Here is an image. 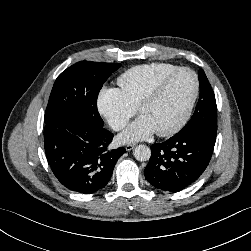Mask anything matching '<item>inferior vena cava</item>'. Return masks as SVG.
Wrapping results in <instances>:
<instances>
[{"instance_id":"obj_1","label":"inferior vena cava","mask_w":251,"mask_h":251,"mask_svg":"<svg viewBox=\"0 0 251 251\" xmlns=\"http://www.w3.org/2000/svg\"><path fill=\"white\" fill-rule=\"evenodd\" d=\"M125 126H126V123L121 121V122L114 123L112 125V128L115 131H119V130L123 129Z\"/></svg>"}]
</instances>
